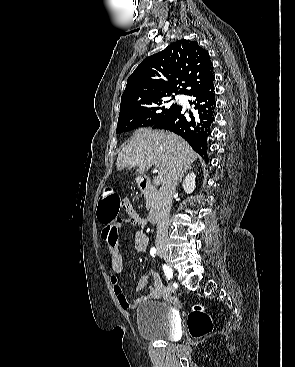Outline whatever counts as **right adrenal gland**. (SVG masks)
I'll return each instance as SVG.
<instances>
[{
  "mask_svg": "<svg viewBox=\"0 0 295 367\" xmlns=\"http://www.w3.org/2000/svg\"><path fill=\"white\" fill-rule=\"evenodd\" d=\"M191 169H193V166H192L191 164H190V165H188V166H185V167L182 169L181 174H180V177H179V180H178V183H181L182 178L184 177V175L186 174V172H187L188 170H191Z\"/></svg>",
  "mask_w": 295,
  "mask_h": 367,
  "instance_id": "obj_1",
  "label": "right adrenal gland"
}]
</instances>
